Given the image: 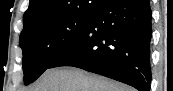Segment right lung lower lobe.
Returning <instances> with one entry per match:
<instances>
[{"mask_svg":"<svg viewBox=\"0 0 173 91\" xmlns=\"http://www.w3.org/2000/svg\"><path fill=\"white\" fill-rule=\"evenodd\" d=\"M151 20L149 0H102L84 33L49 68L78 67L147 91Z\"/></svg>","mask_w":173,"mask_h":91,"instance_id":"1","label":"right lung lower lobe"}]
</instances>
